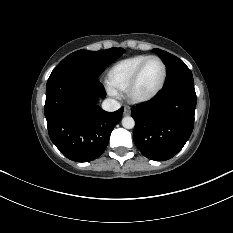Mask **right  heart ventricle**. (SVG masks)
<instances>
[{"instance_id":"e07e8e85","label":"right heart ventricle","mask_w":233,"mask_h":233,"mask_svg":"<svg viewBox=\"0 0 233 233\" xmlns=\"http://www.w3.org/2000/svg\"><path fill=\"white\" fill-rule=\"evenodd\" d=\"M148 55H136L115 63L107 72L106 83L113 93L125 92L134 72Z\"/></svg>"}]
</instances>
